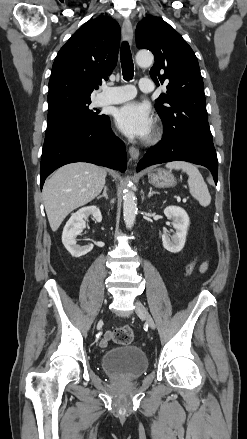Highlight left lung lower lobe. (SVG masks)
Wrapping results in <instances>:
<instances>
[{"instance_id": "0a47b994", "label": "left lung lower lobe", "mask_w": 247, "mask_h": 439, "mask_svg": "<svg viewBox=\"0 0 247 439\" xmlns=\"http://www.w3.org/2000/svg\"><path fill=\"white\" fill-rule=\"evenodd\" d=\"M163 140L150 148L138 163L137 171L154 164L187 161L207 167L217 183L218 160L213 143L204 139L188 137L178 133L164 132Z\"/></svg>"}]
</instances>
